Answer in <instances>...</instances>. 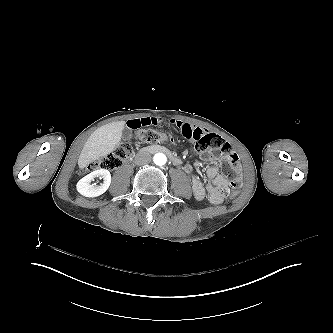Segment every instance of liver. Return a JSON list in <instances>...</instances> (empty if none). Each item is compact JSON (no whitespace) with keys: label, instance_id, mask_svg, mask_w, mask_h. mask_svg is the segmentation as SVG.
Returning <instances> with one entry per match:
<instances>
[{"label":"liver","instance_id":"obj_1","mask_svg":"<svg viewBox=\"0 0 333 333\" xmlns=\"http://www.w3.org/2000/svg\"><path fill=\"white\" fill-rule=\"evenodd\" d=\"M125 124V121H117L97 128L87 139L79 155V168L84 169L93 161L113 152L121 140Z\"/></svg>","mask_w":333,"mask_h":333}]
</instances>
